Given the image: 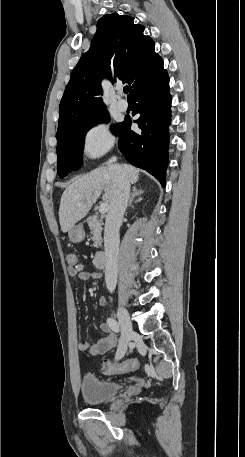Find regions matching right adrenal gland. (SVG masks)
Returning <instances> with one entry per match:
<instances>
[{
  "label": "right adrenal gland",
  "instance_id": "2a0ac1e0",
  "mask_svg": "<svg viewBox=\"0 0 245 457\" xmlns=\"http://www.w3.org/2000/svg\"><path fill=\"white\" fill-rule=\"evenodd\" d=\"M132 188H133V192L129 198L128 206H132V208H133L132 200H134L135 196H139V194H142V192H144V190H142V188H140V190H138V188H136V186H132ZM135 202H138V200H135Z\"/></svg>",
  "mask_w": 245,
  "mask_h": 457
}]
</instances>
